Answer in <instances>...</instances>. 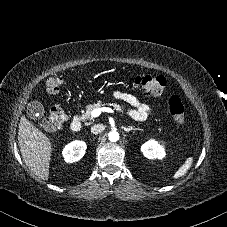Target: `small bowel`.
Instances as JSON below:
<instances>
[{
    "label": "small bowel",
    "instance_id": "c3829d8e",
    "mask_svg": "<svg viewBox=\"0 0 227 227\" xmlns=\"http://www.w3.org/2000/svg\"><path fill=\"white\" fill-rule=\"evenodd\" d=\"M114 97L118 100L123 101L131 108L128 110V114L135 120L142 121L146 118L147 113L150 110V106L148 104L142 103L135 96L122 92L116 91L114 93Z\"/></svg>",
    "mask_w": 227,
    "mask_h": 227
}]
</instances>
